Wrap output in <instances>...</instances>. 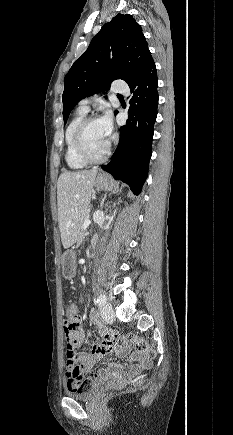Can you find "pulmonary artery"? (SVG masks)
Masks as SVG:
<instances>
[{
  "label": "pulmonary artery",
  "instance_id": "e3ab8cb5",
  "mask_svg": "<svg viewBox=\"0 0 233 435\" xmlns=\"http://www.w3.org/2000/svg\"><path fill=\"white\" fill-rule=\"evenodd\" d=\"M112 91L118 93V95L124 96L128 94V88L125 84L123 78H118L113 80L112 83ZM89 99H83L79 102V108L85 112L88 111L89 108Z\"/></svg>",
  "mask_w": 233,
  "mask_h": 435
}]
</instances>
